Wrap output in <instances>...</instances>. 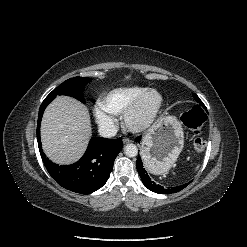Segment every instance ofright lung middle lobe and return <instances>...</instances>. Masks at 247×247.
Listing matches in <instances>:
<instances>
[{"mask_svg":"<svg viewBox=\"0 0 247 247\" xmlns=\"http://www.w3.org/2000/svg\"><path fill=\"white\" fill-rule=\"evenodd\" d=\"M90 81V78L85 77L70 78L60 84L47 97L55 98L56 95H68L78 99L82 103H85L83 91L85 85Z\"/></svg>","mask_w":247,"mask_h":247,"instance_id":"1","label":"right lung middle lobe"}]
</instances>
